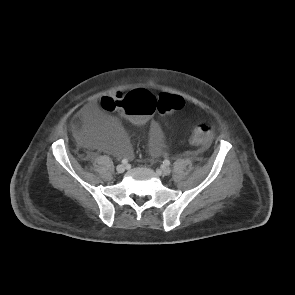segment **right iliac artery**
I'll use <instances>...</instances> for the list:
<instances>
[{
	"mask_svg": "<svg viewBox=\"0 0 295 295\" xmlns=\"http://www.w3.org/2000/svg\"><path fill=\"white\" fill-rule=\"evenodd\" d=\"M127 162H128V160L125 159V158L122 160V163H123V164H127Z\"/></svg>",
	"mask_w": 295,
	"mask_h": 295,
	"instance_id": "right-iliac-artery-1",
	"label": "right iliac artery"
}]
</instances>
